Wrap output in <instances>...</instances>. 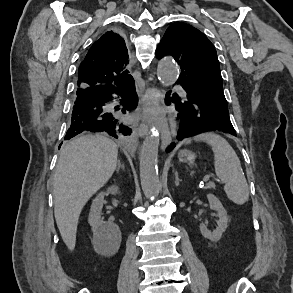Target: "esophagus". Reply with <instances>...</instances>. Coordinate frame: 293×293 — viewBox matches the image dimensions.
Returning <instances> with one entry per match:
<instances>
[{
  "instance_id": "obj_1",
  "label": "esophagus",
  "mask_w": 293,
  "mask_h": 293,
  "mask_svg": "<svg viewBox=\"0 0 293 293\" xmlns=\"http://www.w3.org/2000/svg\"><path fill=\"white\" fill-rule=\"evenodd\" d=\"M159 99H160L159 90L156 87L147 86L140 103V109L142 111H148V110L154 109L159 104ZM151 122L152 120L150 119L147 121H143L137 127V133L140 137H143L147 133L148 127L151 124ZM159 123H160V128L162 133H164L165 137H167L169 134L167 118L164 115L160 116ZM167 145H168V141H166V139L163 138L161 148L165 149Z\"/></svg>"
}]
</instances>
